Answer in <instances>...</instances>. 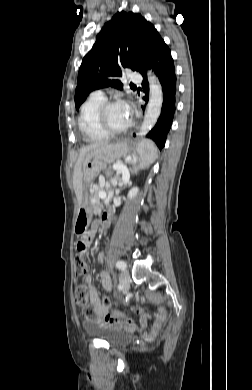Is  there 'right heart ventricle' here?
<instances>
[{"mask_svg": "<svg viewBox=\"0 0 252 390\" xmlns=\"http://www.w3.org/2000/svg\"><path fill=\"white\" fill-rule=\"evenodd\" d=\"M105 101V97L89 96L81 106L79 115V129L88 142H100L109 138L101 131L97 124L96 114Z\"/></svg>", "mask_w": 252, "mask_h": 390, "instance_id": "e07e8e85", "label": "right heart ventricle"}]
</instances>
